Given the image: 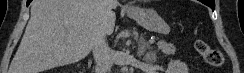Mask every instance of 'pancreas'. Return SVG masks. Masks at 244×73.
<instances>
[{
    "label": "pancreas",
    "instance_id": "pancreas-1",
    "mask_svg": "<svg viewBox=\"0 0 244 73\" xmlns=\"http://www.w3.org/2000/svg\"><path fill=\"white\" fill-rule=\"evenodd\" d=\"M158 49L166 55H172L176 52V47L173 44L167 43L163 40L158 41Z\"/></svg>",
    "mask_w": 244,
    "mask_h": 73
}]
</instances>
